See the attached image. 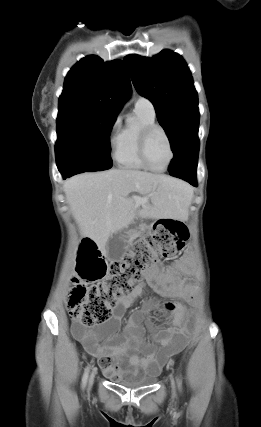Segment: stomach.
<instances>
[{
    "label": "stomach",
    "instance_id": "obj_1",
    "mask_svg": "<svg viewBox=\"0 0 261 427\" xmlns=\"http://www.w3.org/2000/svg\"><path fill=\"white\" fill-rule=\"evenodd\" d=\"M137 229H138V227H137V226H134V227L131 229L130 233H135V232L137 231Z\"/></svg>",
    "mask_w": 261,
    "mask_h": 427
}]
</instances>
